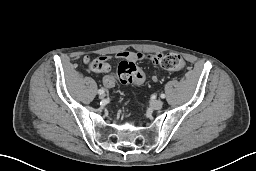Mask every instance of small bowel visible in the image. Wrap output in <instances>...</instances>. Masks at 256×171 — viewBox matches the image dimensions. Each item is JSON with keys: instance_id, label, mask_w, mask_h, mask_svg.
Returning a JSON list of instances; mask_svg holds the SVG:
<instances>
[{"instance_id": "1", "label": "small bowel", "mask_w": 256, "mask_h": 171, "mask_svg": "<svg viewBox=\"0 0 256 171\" xmlns=\"http://www.w3.org/2000/svg\"><path fill=\"white\" fill-rule=\"evenodd\" d=\"M162 54H147L143 52H132V51H121L117 54V58L125 59L130 61H149L153 64H160V59ZM152 81L157 82L159 80V76L157 73H154L151 76ZM103 84L108 87L112 88L115 85V78L112 75H106L103 78Z\"/></svg>"}]
</instances>
